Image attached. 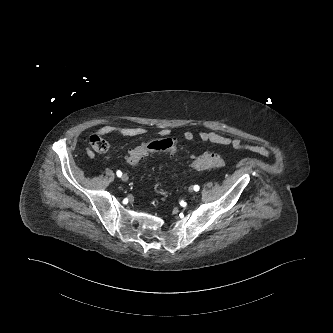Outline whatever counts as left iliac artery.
<instances>
[{"instance_id":"obj_1","label":"left iliac artery","mask_w":333,"mask_h":333,"mask_svg":"<svg viewBox=\"0 0 333 333\" xmlns=\"http://www.w3.org/2000/svg\"><path fill=\"white\" fill-rule=\"evenodd\" d=\"M193 188H194V191H196V192L199 191V189H200V187L198 185H195Z\"/></svg>"}]
</instances>
